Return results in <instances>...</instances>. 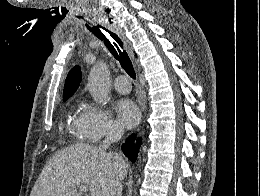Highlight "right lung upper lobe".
Returning a JSON list of instances; mask_svg holds the SVG:
<instances>
[{
    "label": "right lung upper lobe",
    "mask_w": 260,
    "mask_h": 196,
    "mask_svg": "<svg viewBox=\"0 0 260 196\" xmlns=\"http://www.w3.org/2000/svg\"><path fill=\"white\" fill-rule=\"evenodd\" d=\"M80 81L81 71L76 66L67 75L63 91V101H66L76 91Z\"/></svg>",
    "instance_id": "obj_1"
}]
</instances>
